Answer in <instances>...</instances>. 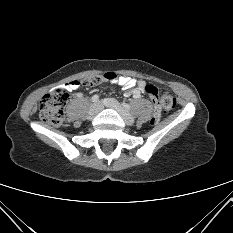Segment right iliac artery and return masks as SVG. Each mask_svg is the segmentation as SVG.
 Here are the masks:
<instances>
[{
  "label": "right iliac artery",
  "mask_w": 233,
  "mask_h": 233,
  "mask_svg": "<svg viewBox=\"0 0 233 233\" xmlns=\"http://www.w3.org/2000/svg\"><path fill=\"white\" fill-rule=\"evenodd\" d=\"M91 101L96 103L99 101V96L96 94V95H93L92 98H91Z\"/></svg>",
  "instance_id": "1"
}]
</instances>
